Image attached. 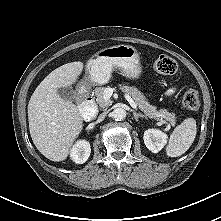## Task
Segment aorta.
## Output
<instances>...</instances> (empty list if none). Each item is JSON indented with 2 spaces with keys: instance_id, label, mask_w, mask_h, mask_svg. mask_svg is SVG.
<instances>
[{
  "instance_id": "aorta-1",
  "label": "aorta",
  "mask_w": 221,
  "mask_h": 221,
  "mask_svg": "<svg viewBox=\"0 0 221 221\" xmlns=\"http://www.w3.org/2000/svg\"><path fill=\"white\" fill-rule=\"evenodd\" d=\"M126 110L123 108H116L112 111V117L116 121H121L126 118Z\"/></svg>"
}]
</instances>
